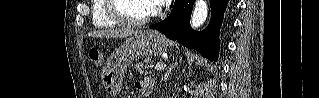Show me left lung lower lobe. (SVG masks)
Segmentation results:
<instances>
[{
  "label": "left lung lower lobe",
  "mask_w": 319,
  "mask_h": 98,
  "mask_svg": "<svg viewBox=\"0 0 319 98\" xmlns=\"http://www.w3.org/2000/svg\"><path fill=\"white\" fill-rule=\"evenodd\" d=\"M228 0H210L211 20L207 28L197 32L190 27L194 0H176L170 15L162 22L152 25L169 39L199 51L203 57L217 60L219 52V29Z\"/></svg>",
  "instance_id": "0a47b994"
}]
</instances>
